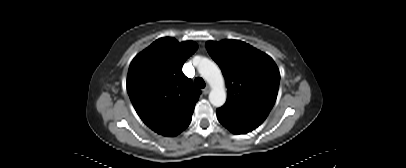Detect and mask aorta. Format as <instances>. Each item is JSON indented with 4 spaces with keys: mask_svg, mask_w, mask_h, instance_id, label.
I'll return each mask as SVG.
<instances>
[{
    "mask_svg": "<svg viewBox=\"0 0 406 168\" xmlns=\"http://www.w3.org/2000/svg\"><path fill=\"white\" fill-rule=\"evenodd\" d=\"M197 69L211 86L209 101L215 107H221L226 101L224 78L219 67L207 58H199Z\"/></svg>",
    "mask_w": 406,
    "mask_h": 168,
    "instance_id": "1",
    "label": "aorta"
}]
</instances>
